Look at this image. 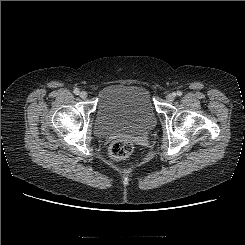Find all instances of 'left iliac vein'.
<instances>
[{"instance_id": "left-iliac-vein-1", "label": "left iliac vein", "mask_w": 245, "mask_h": 245, "mask_svg": "<svg viewBox=\"0 0 245 245\" xmlns=\"http://www.w3.org/2000/svg\"><path fill=\"white\" fill-rule=\"evenodd\" d=\"M166 99L169 101V102H172L174 99H175V94L173 93H170L166 96Z\"/></svg>"}]
</instances>
